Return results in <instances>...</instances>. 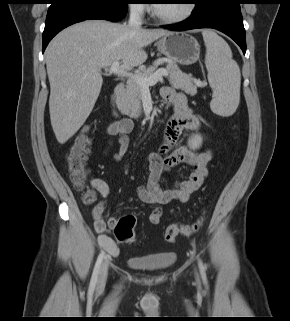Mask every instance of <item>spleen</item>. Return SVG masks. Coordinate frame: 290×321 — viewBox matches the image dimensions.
<instances>
[{
	"mask_svg": "<svg viewBox=\"0 0 290 321\" xmlns=\"http://www.w3.org/2000/svg\"><path fill=\"white\" fill-rule=\"evenodd\" d=\"M206 46L205 65L213 89L211 110L221 116L232 115L240 101L241 74L226 41L212 30L202 32Z\"/></svg>",
	"mask_w": 290,
	"mask_h": 321,
	"instance_id": "3e777b00",
	"label": "spleen"
}]
</instances>
